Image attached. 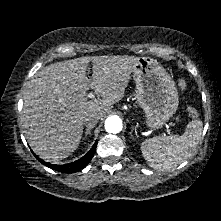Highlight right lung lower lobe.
<instances>
[{"label":"right lung lower lobe","instance_id":"98d812e1","mask_svg":"<svg viewBox=\"0 0 221 221\" xmlns=\"http://www.w3.org/2000/svg\"><path fill=\"white\" fill-rule=\"evenodd\" d=\"M96 146H97V141L94 143L93 147L88 151V153L84 155L82 158H80L79 160L75 162L64 164V165H53V164L43 161L42 159L38 158L36 155L35 157L42 164L46 165L49 168H52L53 170H56L62 173H75L83 169L90 162V160L95 154Z\"/></svg>","mask_w":221,"mask_h":221}]
</instances>
